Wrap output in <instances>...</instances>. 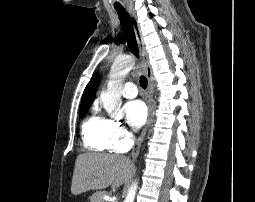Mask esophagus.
I'll list each match as a JSON object with an SVG mask.
<instances>
[{"label":"esophagus","instance_id":"34e87169","mask_svg":"<svg viewBox=\"0 0 255 202\" xmlns=\"http://www.w3.org/2000/svg\"><path fill=\"white\" fill-rule=\"evenodd\" d=\"M130 13V19H131V23L134 29V33H135V37H136V41L138 44V50L142 59V66L143 69L145 71L147 80H148V86H147V105H148V118H147V122L140 134V136L138 137L136 144L131 152V158L132 160H135L140 152L141 146H142V142L144 140V137L146 135L148 126L150 124V120H151V112H152V97H153V73H152V68L150 66L149 63V58H148V54L147 51L145 49V43H144V39L141 33V29L139 26V23L137 21V18L135 17V15L133 14L132 11H129Z\"/></svg>","mask_w":255,"mask_h":202}]
</instances>
